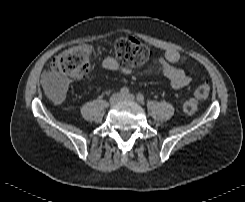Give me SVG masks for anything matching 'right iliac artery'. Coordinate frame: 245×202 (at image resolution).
Wrapping results in <instances>:
<instances>
[{
	"label": "right iliac artery",
	"instance_id": "right-iliac-artery-1",
	"mask_svg": "<svg viewBox=\"0 0 245 202\" xmlns=\"http://www.w3.org/2000/svg\"><path fill=\"white\" fill-rule=\"evenodd\" d=\"M120 93L122 95H128L129 94V89L127 87H122L121 90H120Z\"/></svg>",
	"mask_w": 245,
	"mask_h": 202
}]
</instances>
